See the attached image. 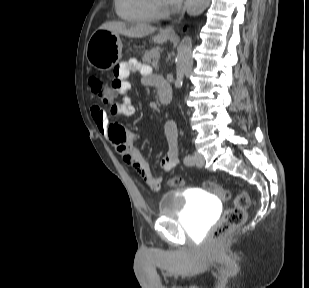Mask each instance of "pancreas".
I'll return each mask as SVG.
<instances>
[{
	"label": "pancreas",
	"instance_id": "cf45deb5",
	"mask_svg": "<svg viewBox=\"0 0 309 288\" xmlns=\"http://www.w3.org/2000/svg\"><path fill=\"white\" fill-rule=\"evenodd\" d=\"M159 53H160V48L159 47L153 48V49L145 52V54L142 57V60L145 63L157 62L158 61V57H159Z\"/></svg>",
	"mask_w": 309,
	"mask_h": 288
}]
</instances>
